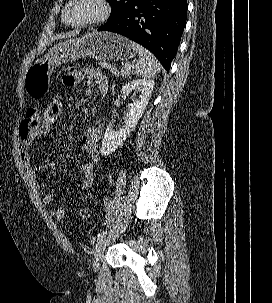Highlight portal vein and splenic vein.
Wrapping results in <instances>:
<instances>
[{
  "mask_svg": "<svg viewBox=\"0 0 272 303\" xmlns=\"http://www.w3.org/2000/svg\"><path fill=\"white\" fill-rule=\"evenodd\" d=\"M124 68H125V69H131V65H130V64H125V65H124Z\"/></svg>",
  "mask_w": 272,
  "mask_h": 303,
  "instance_id": "obj_1",
  "label": "portal vein and splenic vein"
}]
</instances>
